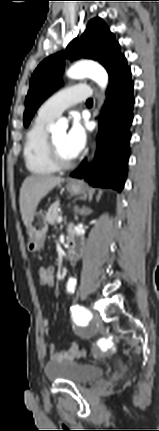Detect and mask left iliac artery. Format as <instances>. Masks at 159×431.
Returning a JSON list of instances; mask_svg holds the SVG:
<instances>
[{"instance_id":"left-iliac-artery-1","label":"left iliac artery","mask_w":159,"mask_h":431,"mask_svg":"<svg viewBox=\"0 0 159 431\" xmlns=\"http://www.w3.org/2000/svg\"><path fill=\"white\" fill-rule=\"evenodd\" d=\"M76 281L74 279H70L68 282L69 290L71 292L75 289ZM72 315L74 317V320L78 324H85L87 323L91 318L92 314L83 306L81 305H75L71 308Z\"/></svg>"}]
</instances>
